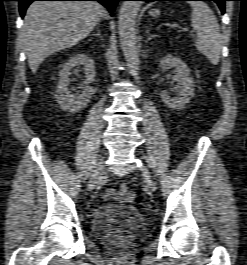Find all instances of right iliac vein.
I'll use <instances>...</instances> for the list:
<instances>
[{"mask_svg":"<svg viewBox=\"0 0 247 265\" xmlns=\"http://www.w3.org/2000/svg\"><path fill=\"white\" fill-rule=\"evenodd\" d=\"M103 169H104V158L102 157L99 162L96 165V168L90 178L89 184H88V189L93 190L98 183L99 179L101 178L103 174Z\"/></svg>","mask_w":247,"mask_h":265,"instance_id":"1","label":"right iliac vein"}]
</instances>
